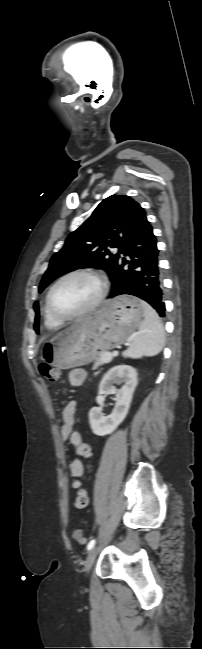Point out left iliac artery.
Here are the masks:
<instances>
[{
  "instance_id": "obj_1",
  "label": "left iliac artery",
  "mask_w": 202,
  "mask_h": 649,
  "mask_svg": "<svg viewBox=\"0 0 202 649\" xmlns=\"http://www.w3.org/2000/svg\"><path fill=\"white\" fill-rule=\"evenodd\" d=\"M95 542H96V540H95V539H92V540L88 543V545H87V549H88V550H91V549L94 547Z\"/></svg>"
}]
</instances>
